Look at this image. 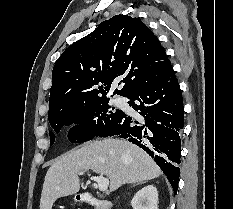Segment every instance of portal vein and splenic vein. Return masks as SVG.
Wrapping results in <instances>:
<instances>
[{
    "mask_svg": "<svg viewBox=\"0 0 233 209\" xmlns=\"http://www.w3.org/2000/svg\"><path fill=\"white\" fill-rule=\"evenodd\" d=\"M84 172H80L79 175H83ZM91 180H94L97 182L98 184V188L100 191L104 192L108 189V185H109V179L102 177V176H93L91 177Z\"/></svg>",
    "mask_w": 233,
    "mask_h": 209,
    "instance_id": "portal-vein-and-splenic-vein-1",
    "label": "portal vein and splenic vein"
}]
</instances>
